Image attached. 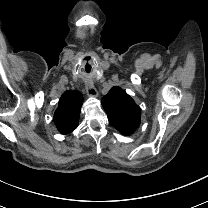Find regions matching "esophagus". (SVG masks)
<instances>
[{"mask_svg": "<svg viewBox=\"0 0 208 208\" xmlns=\"http://www.w3.org/2000/svg\"><path fill=\"white\" fill-rule=\"evenodd\" d=\"M85 87H86L87 95L89 97H97L98 96V92H97L96 88L94 87L92 81H87L85 83Z\"/></svg>", "mask_w": 208, "mask_h": 208, "instance_id": "1", "label": "esophagus"}]
</instances>
